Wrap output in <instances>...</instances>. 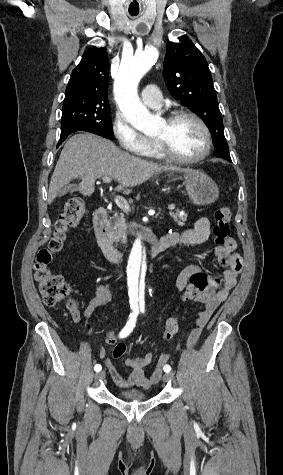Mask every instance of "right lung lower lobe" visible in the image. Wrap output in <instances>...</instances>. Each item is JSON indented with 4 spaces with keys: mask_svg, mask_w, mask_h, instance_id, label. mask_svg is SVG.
Returning a JSON list of instances; mask_svg holds the SVG:
<instances>
[{
    "mask_svg": "<svg viewBox=\"0 0 283 475\" xmlns=\"http://www.w3.org/2000/svg\"><path fill=\"white\" fill-rule=\"evenodd\" d=\"M76 131H80V130L68 129V130H65V131H61V136H60V140L58 142L57 147L67 138L68 135H70V134H72L73 132H76Z\"/></svg>",
    "mask_w": 283,
    "mask_h": 475,
    "instance_id": "98d812e1",
    "label": "right lung lower lobe"
}]
</instances>
